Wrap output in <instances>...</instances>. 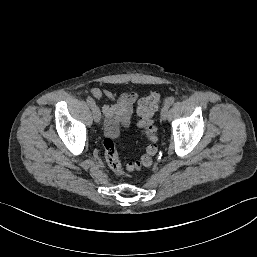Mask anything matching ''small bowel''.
Returning a JSON list of instances; mask_svg holds the SVG:
<instances>
[{"label":"small bowel","mask_w":257,"mask_h":257,"mask_svg":"<svg viewBox=\"0 0 257 257\" xmlns=\"http://www.w3.org/2000/svg\"><path fill=\"white\" fill-rule=\"evenodd\" d=\"M90 94L97 99H116L113 105L105 104L102 108L105 115V131L110 137H116L119 134L120 126H128L133 114L134 104L138 98L136 92H127L119 97L108 89L92 87Z\"/></svg>","instance_id":"c3829d8e"}]
</instances>
